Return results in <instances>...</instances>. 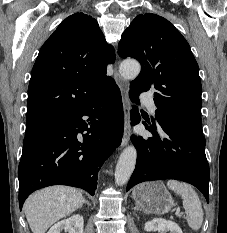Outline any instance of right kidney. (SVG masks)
<instances>
[{
  "instance_id": "obj_1",
  "label": "right kidney",
  "mask_w": 227,
  "mask_h": 233,
  "mask_svg": "<svg viewBox=\"0 0 227 233\" xmlns=\"http://www.w3.org/2000/svg\"><path fill=\"white\" fill-rule=\"evenodd\" d=\"M84 220L80 214H75L64 219L50 228L47 233H61L62 230L68 233H83Z\"/></svg>"
}]
</instances>
